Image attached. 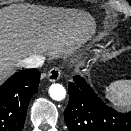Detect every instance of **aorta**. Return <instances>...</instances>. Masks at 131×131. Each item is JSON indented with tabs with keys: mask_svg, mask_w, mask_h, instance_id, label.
I'll list each match as a JSON object with an SVG mask.
<instances>
[{
	"mask_svg": "<svg viewBox=\"0 0 131 131\" xmlns=\"http://www.w3.org/2000/svg\"><path fill=\"white\" fill-rule=\"evenodd\" d=\"M50 97L53 100L61 101L66 96V90L61 84H52L49 88Z\"/></svg>",
	"mask_w": 131,
	"mask_h": 131,
	"instance_id": "762f6f07",
	"label": "aorta"
}]
</instances>
